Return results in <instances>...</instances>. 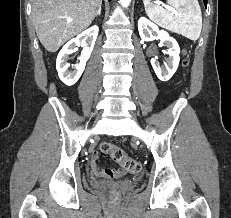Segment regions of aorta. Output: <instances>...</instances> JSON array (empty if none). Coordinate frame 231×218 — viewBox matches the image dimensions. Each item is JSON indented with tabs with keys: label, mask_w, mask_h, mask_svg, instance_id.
Here are the masks:
<instances>
[{
	"label": "aorta",
	"mask_w": 231,
	"mask_h": 218,
	"mask_svg": "<svg viewBox=\"0 0 231 218\" xmlns=\"http://www.w3.org/2000/svg\"><path fill=\"white\" fill-rule=\"evenodd\" d=\"M120 2L123 7H128L130 5L131 0H120Z\"/></svg>",
	"instance_id": "aorta-1"
}]
</instances>
